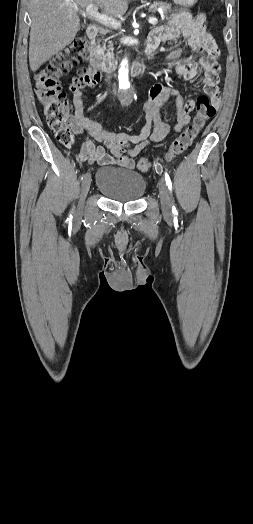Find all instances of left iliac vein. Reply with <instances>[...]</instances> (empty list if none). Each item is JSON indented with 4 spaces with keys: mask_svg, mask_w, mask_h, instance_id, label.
I'll return each instance as SVG.
<instances>
[{
    "mask_svg": "<svg viewBox=\"0 0 253 524\" xmlns=\"http://www.w3.org/2000/svg\"><path fill=\"white\" fill-rule=\"evenodd\" d=\"M158 187H159V195H160L162 211L165 215H170L172 212V203H171L167 184L163 178H160L158 182Z\"/></svg>",
    "mask_w": 253,
    "mask_h": 524,
    "instance_id": "1",
    "label": "left iliac vein"
}]
</instances>
